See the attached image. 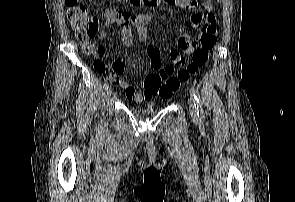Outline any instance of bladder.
Here are the masks:
<instances>
[{
	"label": "bladder",
	"instance_id": "obj_1",
	"mask_svg": "<svg viewBox=\"0 0 295 202\" xmlns=\"http://www.w3.org/2000/svg\"><path fill=\"white\" fill-rule=\"evenodd\" d=\"M152 111H153L152 108H146L142 112L145 113V114H148V113H151Z\"/></svg>",
	"mask_w": 295,
	"mask_h": 202
}]
</instances>
